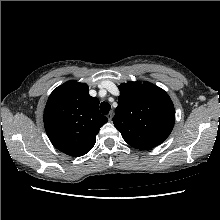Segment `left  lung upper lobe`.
I'll return each mask as SVG.
<instances>
[{
  "mask_svg": "<svg viewBox=\"0 0 220 220\" xmlns=\"http://www.w3.org/2000/svg\"><path fill=\"white\" fill-rule=\"evenodd\" d=\"M119 89L113 123L124 140L140 150L161 144L175 123L174 105L168 94L149 82H128Z\"/></svg>",
  "mask_w": 220,
  "mask_h": 220,
  "instance_id": "1",
  "label": "left lung upper lobe"
}]
</instances>
